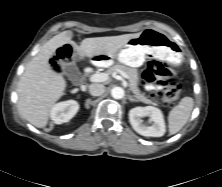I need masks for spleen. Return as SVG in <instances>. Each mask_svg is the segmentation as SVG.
Segmentation results:
<instances>
[{
	"label": "spleen",
	"instance_id": "3e777b00",
	"mask_svg": "<svg viewBox=\"0 0 222 187\" xmlns=\"http://www.w3.org/2000/svg\"><path fill=\"white\" fill-rule=\"evenodd\" d=\"M194 100L191 97H184L179 104L175 106L168 115L169 134L173 135L179 132L187 123L193 110Z\"/></svg>",
	"mask_w": 222,
	"mask_h": 187
}]
</instances>
